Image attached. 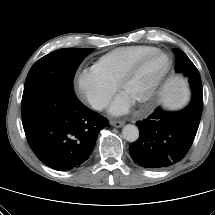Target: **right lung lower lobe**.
<instances>
[{
    "label": "right lung lower lobe",
    "instance_id": "1",
    "mask_svg": "<svg viewBox=\"0 0 215 215\" xmlns=\"http://www.w3.org/2000/svg\"><path fill=\"white\" fill-rule=\"evenodd\" d=\"M108 120L79 100L61 104L24 129L36 156L58 171L79 167L91 155Z\"/></svg>",
    "mask_w": 215,
    "mask_h": 215
}]
</instances>
